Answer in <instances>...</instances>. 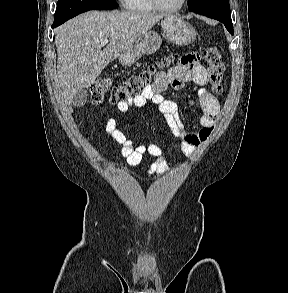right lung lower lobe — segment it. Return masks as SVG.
I'll return each instance as SVG.
<instances>
[{
	"instance_id": "1",
	"label": "right lung lower lobe",
	"mask_w": 288,
	"mask_h": 293,
	"mask_svg": "<svg viewBox=\"0 0 288 293\" xmlns=\"http://www.w3.org/2000/svg\"><path fill=\"white\" fill-rule=\"evenodd\" d=\"M57 26H59V25H54V24L52 25L53 28H54V27H57Z\"/></svg>"
}]
</instances>
